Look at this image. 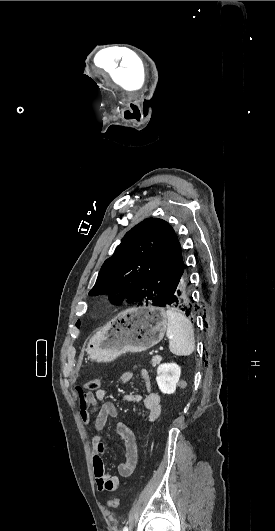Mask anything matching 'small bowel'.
Listing matches in <instances>:
<instances>
[{
	"instance_id": "small-bowel-1",
	"label": "small bowel",
	"mask_w": 275,
	"mask_h": 531,
	"mask_svg": "<svg viewBox=\"0 0 275 531\" xmlns=\"http://www.w3.org/2000/svg\"><path fill=\"white\" fill-rule=\"evenodd\" d=\"M139 375L144 387V393L136 394L130 392L125 394L123 399L127 402H141L149 422L154 423L161 414V398L154 390L149 372L146 369H142ZM132 378L133 373L125 371L122 373L120 380L122 383H129ZM74 391L81 394V386L75 385ZM105 398L106 391L104 389H100L95 393H85L84 399L79 402L81 407L80 416L85 425H89L93 421L95 434L92 439L91 454L97 488L100 491H115L124 484L123 479L129 478L133 474L138 464L139 453L132 428L123 422H118L116 433L124 442L125 457L118 466L117 475H110L106 472L104 455L107 446L103 440L102 432L108 418H116L118 411L115 404L111 401H105ZM94 414L95 419L93 420Z\"/></svg>"
}]
</instances>
